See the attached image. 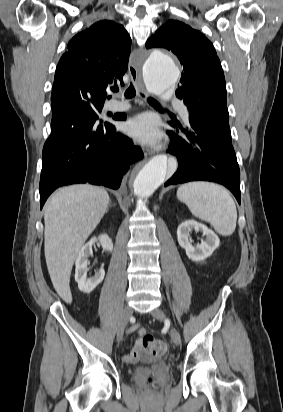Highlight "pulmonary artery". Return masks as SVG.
Masks as SVG:
<instances>
[{"mask_svg":"<svg viewBox=\"0 0 283 412\" xmlns=\"http://www.w3.org/2000/svg\"><path fill=\"white\" fill-rule=\"evenodd\" d=\"M173 104L175 105L176 102L174 101ZM128 108H129V107H128V105H126V104H114V105L111 106L110 109H111L112 111H125V110H127ZM181 115H182V118H183L185 121H188V119H189V114H188V111H187V110L182 109V110H181Z\"/></svg>","mask_w":283,"mask_h":412,"instance_id":"obj_1","label":"pulmonary artery"}]
</instances>
